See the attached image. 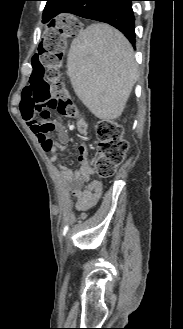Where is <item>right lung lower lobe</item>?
Returning <instances> with one entry per match:
<instances>
[{"label": "right lung lower lobe", "instance_id": "98d812e1", "mask_svg": "<svg viewBox=\"0 0 183 329\" xmlns=\"http://www.w3.org/2000/svg\"><path fill=\"white\" fill-rule=\"evenodd\" d=\"M134 0H61L52 8L55 16L71 13L83 18L109 23L119 29L135 45ZM46 23V22H45Z\"/></svg>", "mask_w": 183, "mask_h": 329}]
</instances>
